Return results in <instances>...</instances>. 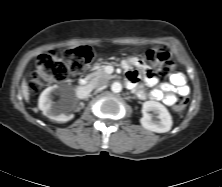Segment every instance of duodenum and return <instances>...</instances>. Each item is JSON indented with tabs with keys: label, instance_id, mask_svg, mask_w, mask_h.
Returning a JSON list of instances; mask_svg holds the SVG:
<instances>
[{
	"label": "duodenum",
	"instance_id": "obj_1",
	"mask_svg": "<svg viewBox=\"0 0 222 187\" xmlns=\"http://www.w3.org/2000/svg\"><path fill=\"white\" fill-rule=\"evenodd\" d=\"M89 92H90L89 78L86 76L82 77V79L80 81L79 93L82 96H86L89 94Z\"/></svg>",
	"mask_w": 222,
	"mask_h": 187
}]
</instances>
